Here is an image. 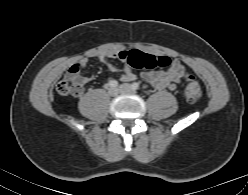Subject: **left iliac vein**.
<instances>
[{
  "instance_id": "obj_1",
  "label": "left iliac vein",
  "mask_w": 248,
  "mask_h": 195,
  "mask_svg": "<svg viewBox=\"0 0 248 195\" xmlns=\"http://www.w3.org/2000/svg\"><path fill=\"white\" fill-rule=\"evenodd\" d=\"M119 90L122 93H135V90L129 84H122L119 86Z\"/></svg>"
}]
</instances>
